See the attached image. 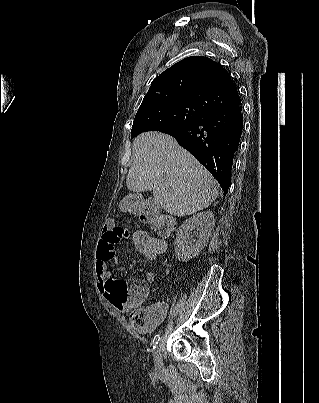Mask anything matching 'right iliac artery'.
<instances>
[{
	"label": "right iliac artery",
	"mask_w": 319,
	"mask_h": 403,
	"mask_svg": "<svg viewBox=\"0 0 319 403\" xmlns=\"http://www.w3.org/2000/svg\"><path fill=\"white\" fill-rule=\"evenodd\" d=\"M159 341H160V335H159V334H156V335L154 336L153 340H152V343H151L153 349L156 348V346H157V344H158Z\"/></svg>",
	"instance_id": "obj_1"
}]
</instances>
